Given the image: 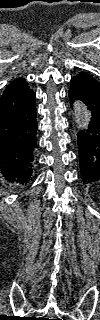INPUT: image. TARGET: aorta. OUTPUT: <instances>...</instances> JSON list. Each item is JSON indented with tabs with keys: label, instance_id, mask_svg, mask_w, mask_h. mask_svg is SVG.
<instances>
[{
	"label": "aorta",
	"instance_id": "762f6f07",
	"mask_svg": "<svg viewBox=\"0 0 100 320\" xmlns=\"http://www.w3.org/2000/svg\"><path fill=\"white\" fill-rule=\"evenodd\" d=\"M73 111L78 129H86L91 119V113L87 109V106L81 101H75L73 104Z\"/></svg>",
	"mask_w": 100,
	"mask_h": 320
}]
</instances>
